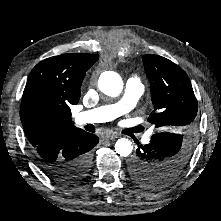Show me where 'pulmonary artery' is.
I'll return each instance as SVG.
<instances>
[{
    "instance_id": "pulmonary-artery-1",
    "label": "pulmonary artery",
    "mask_w": 221,
    "mask_h": 221,
    "mask_svg": "<svg viewBox=\"0 0 221 221\" xmlns=\"http://www.w3.org/2000/svg\"><path fill=\"white\" fill-rule=\"evenodd\" d=\"M143 92L144 87L140 80L135 77L129 78L126 82L124 94L118 102L79 112L75 115V122L82 125L114 120L133 109Z\"/></svg>"
}]
</instances>
